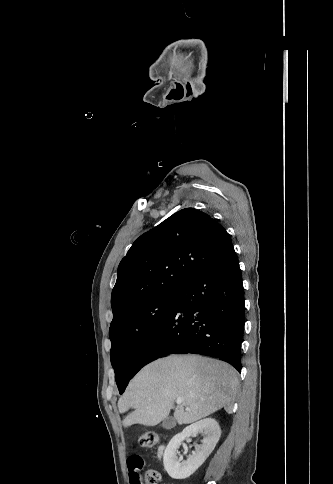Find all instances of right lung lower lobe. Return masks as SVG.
Listing matches in <instances>:
<instances>
[{
  "label": "right lung lower lobe",
  "mask_w": 333,
  "mask_h": 484,
  "mask_svg": "<svg viewBox=\"0 0 333 484\" xmlns=\"http://www.w3.org/2000/svg\"><path fill=\"white\" fill-rule=\"evenodd\" d=\"M233 246L180 290L175 304L142 346L131 378L169 354L217 357L241 372L244 296Z\"/></svg>",
  "instance_id": "right-lung-lower-lobe-1"
}]
</instances>
